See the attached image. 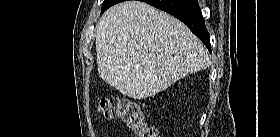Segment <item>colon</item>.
<instances>
[{
	"instance_id": "5ec220e1",
	"label": "colon",
	"mask_w": 280,
	"mask_h": 137,
	"mask_svg": "<svg viewBox=\"0 0 280 137\" xmlns=\"http://www.w3.org/2000/svg\"><path fill=\"white\" fill-rule=\"evenodd\" d=\"M98 111L106 119H121L136 137H158L157 128L147 122L138 103L118 97L101 98Z\"/></svg>"
}]
</instances>
